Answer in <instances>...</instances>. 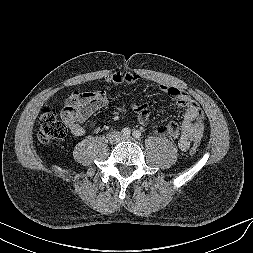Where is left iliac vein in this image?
Instances as JSON below:
<instances>
[{
  "mask_svg": "<svg viewBox=\"0 0 253 253\" xmlns=\"http://www.w3.org/2000/svg\"><path fill=\"white\" fill-rule=\"evenodd\" d=\"M123 141H133L134 139L131 136H125L121 138Z\"/></svg>",
  "mask_w": 253,
  "mask_h": 253,
  "instance_id": "obj_1",
  "label": "left iliac vein"
}]
</instances>
